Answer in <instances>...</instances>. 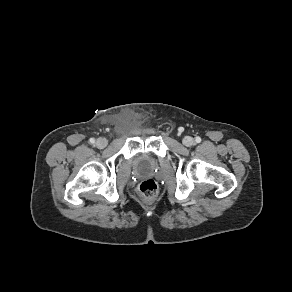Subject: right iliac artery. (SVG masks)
Listing matches in <instances>:
<instances>
[{
  "mask_svg": "<svg viewBox=\"0 0 292 292\" xmlns=\"http://www.w3.org/2000/svg\"><path fill=\"white\" fill-rule=\"evenodd\" d=\"M89 142H90L91 144H93V143H95V139H94V138H90Z\"/></svg>",
  "mask_w": 292,
  "mask_h": 292,
  "instance_id": "right-iliac-artery-1",
  "label": "right iliac artery"
}]
</instances>
